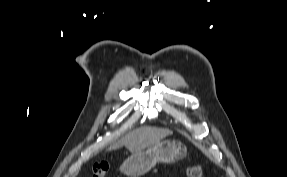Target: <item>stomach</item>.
Returning <instances> with one entry per match:
<instances>
[{"label":"stomach","mask_w":287,"mask_h":177,"mask_svg":"<svg viewBox=\"0 0 287 177\" xmlns=\"http://www.w3.org/2000/svg\"><path fill=\"white\" fill-rule=\"evenodd\" d=\"M187 148L179 141H160L146 150L132 153L121 165L122 173L129 177H140L157 162L173 163L186 156Z\"/></svg>","instance_id":"0dacf381"}]
</instances>
